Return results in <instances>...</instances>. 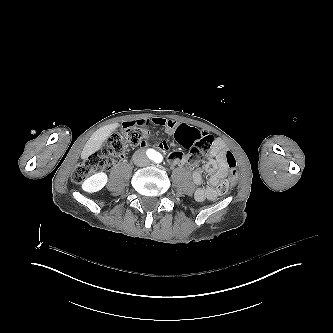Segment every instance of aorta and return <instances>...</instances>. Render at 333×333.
<instances>
[{
  "mask_svg": "<svg viewBox=\"0 0 333 333\" xmlns=\"http://www.w3.org/2000/svg\"><path fill=\"white\" fill-rule=\"evenodd\" d=\"M152 161L155 163H161L163 161V155L156 151L152 157Z\"/></svg>",
  "mask_w": 333,
  "mask_h": 333,
  "instance_id": "762f6f07",
  "label": "aorta"
}]
</instances>
